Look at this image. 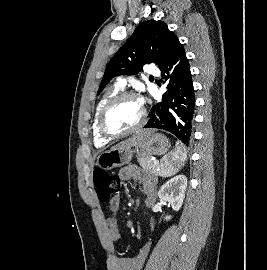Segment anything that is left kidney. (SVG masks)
Returning a JSON list of instances; mask_svg holds the SVG:
<instances>
[{
    "label": "left kidney",
    "mask_w": 267,
    "mask_h": 270,
    "mask_svg": "<svg viewBox=\"0 0 267 270\" xmlns=\"http://www.w3.org/2000/svg\"><path fill=\"white\" fill-rule=\"evenodd\" d=\"M186 188V176L176 175L161 186L158 196L162 201L168 202L174 211H179L183 204ZM165 219L168 221L171 216H166Z\"/></svg>",
    "instance_id": "1"
}]
</instances>
